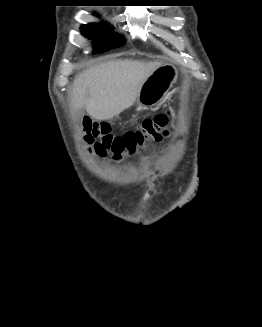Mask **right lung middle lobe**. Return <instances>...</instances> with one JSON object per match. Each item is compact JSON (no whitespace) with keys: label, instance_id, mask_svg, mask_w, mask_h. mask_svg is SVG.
<instances>
[{"label":"right lung middle lobe","instance_id":"right-lung-middle-lobe-1","mask_svg":"<svg viewBox=\"0 0 262 327\" xmlns=\"http://www.w3.org/2000/svg\"><path fill=\"white\" fill-rule=\"evenodd\" d=\"M111 26L107 24H86L81 27L85 37L94 40V52L102 53L125 43L123 39L111 35Z\"/></svg>","mask_w":262,"mask_h":327}]
</instances>
